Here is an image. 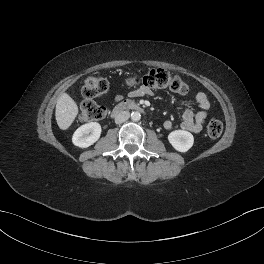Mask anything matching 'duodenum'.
Segmentation results:
<instances>
[{"instance_id":"duodenum-1","label":"duodenum","mask_w":264,"mask_h":264,"mask_svg":"<svg viewBox=\"0 0 264 264\" xmlns=\"http://www.w3.org/2000/svg\"><path fill=\"white\" fill-rule=\"evenodd\" d=\"M127 110H137L142 111V108L138 106L136 103L126 100L121 103H119L111 112L112 117H116L119 114L127 111Z\"/></svg>"}]
</instances>
